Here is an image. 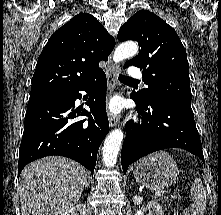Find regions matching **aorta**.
<instances>
[{"label":"aorta","mask_w":221,"mask_h":215,"mask_svg":"<svg viewBox=\"0 0 221 215\" xmlns=\"http://www.w3.org/2000/svg\"><path fill=\"white\" fill-rule=\"evenodd\" d=\"M138 52V46L134 42L122 43L116 47L113 61L118 63L126 58L132 57ZM123 131L115 129L109 133L103 146V162L106 167H113L117 162V156L123 140Z\"/></svg>","instance_id":"762f6f07"}]
</instances>
